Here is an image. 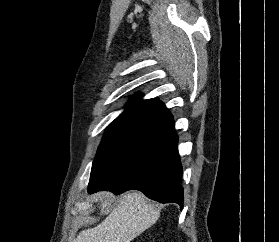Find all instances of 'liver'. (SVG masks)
Instances as JSON below:
<instances>
[{
	"instance_id": "obj_1",
	"label": "liver",
	"mask_w": 279,
	"mask_h": 242,
	"mask_svg": "<svg viewBox=\"0 0 279 242\" xmlns=\"http://www.w3.org/2000/svg\"><path fill=\"white\" fill-rule=\"evenodd\" d=\"M101 210L112 202V194H98ZM160 217L157 207L140 192H129L104 221L79 233L73 242H130L156 223Z\"/></svg>"
}]
</instances>
